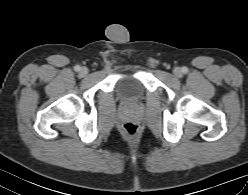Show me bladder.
Segmentation results:
<instances>
[{"instance_id":"1","label":"bladder","mask_w":248,"mask_h":195,"mask_svg":"<svg viewBox=\"0 0 248 195\" xmlns=\"http://www.w3.org/2000/svg\"><path fill=\"white\" fill-rule=\"evenodd\" d=\"M121 94L128 98L138 97L144 93V87L137 77L129 76L119 84Z\"/></svg>"}]
</instances>
